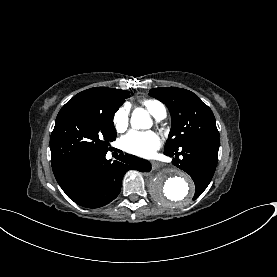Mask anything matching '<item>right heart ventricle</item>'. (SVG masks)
<instances>
[{
	"label": "right heart ventricle",
	"mask_w": 277,
	"mask_h": 277,
	"mask_svg": "<svg viewBox=\"0 0 277 277\" xmlns=\"http://www.w3.org/2000/svg\"><path fill=\"white\" fill-rule=\"evenodd\" d=\"M142 105L156 118L163 107L162 104L155 100H144Z\"/></svg>",
	"instance_id": "obj_1"
}]
</instances>
